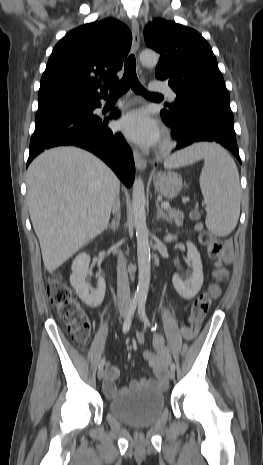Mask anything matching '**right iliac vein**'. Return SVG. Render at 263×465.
<instances>
[{
    "mask_svg": "<svg viewBox=\"0 0 263 465\" xmlns=\"http://www.w3.org/2000/svg\"><path fill=\"white\" fill-rule=\"evenodd\" d=\"M127 313H128L127 310H122V311L120 312V316H121L122 318H126ZM104 374H105V372H104V369H103V367H102V368H100L99 371H98V374H97L98 379H99V380L103 379Z\"/></svg>",
    "mask_w": 263,
    "mask_h": 465,
    "instance_id": "right-iliac-vein-1",
    "label": "right iliac vein"
}]
</instances>
